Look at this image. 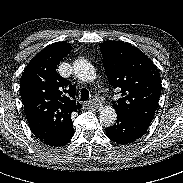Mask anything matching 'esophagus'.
Here are the masks:
<instances>
[{
	"instance_id": "esophagus-1",
	"label": "esophagus",
	"mask_w": 183,
	"mask_h": 183,
	"mask_svg": "<svg viewBox=\"0 0 183 183\" xmlns=\"http://www.w3.org/2000/svg\"><path fill=\"white\" fill-rule=\"evenodd\" d=\"M85 107L88 109L100 110V109H102V104L97 101H88L85 103Z\"/></svg>"
}]
</instances>
